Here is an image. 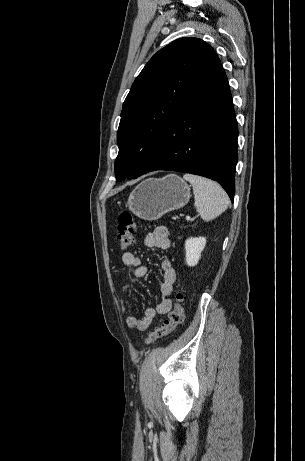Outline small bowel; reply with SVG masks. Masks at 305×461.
<instances>
[{
	"label": "small bowel",
	"instance_id": "1",
	"mask_svg": "<svg viewBox=\"0 0 305 461\" xmlns=\"http://www.w3.org/2000/svg\"><path fill=\"white\" fill-rule=\"evenodd\" d=\"M145 245L149 248L168 249L171 245L170 231L167 227H156L145 237ZM122 263L125 267L132 270L133 276L137 278L148 274V267L142 264L140 258L133 252L127 251L122 255ZM163 271V281L159 289V300L155 308H148L142 318H138L134 313L129 312L126 324L130 329L143 331L147 329L158 315L167 314L172 307L171 294L176 282V271L170 259L164 258L161 262ZM133 286L130 282H125L122 290L125 294L132 292ZM121 311H127L124 299H120Z\"/></svg>",
	"mask_w": 305,
	"mask_h": 461
}]
</instances>
